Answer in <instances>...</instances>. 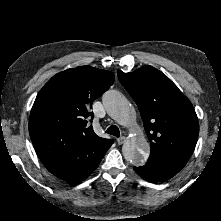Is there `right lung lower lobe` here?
Instances as JSON below:
<instances>
[{
    "mask_svg": "<svg viewBox=\"0 0 221 221\" xmlns=\"http://www.w3.org/2000/svg\"><path fill=\"white\" fill-rule=\"evenodd\" d=\"M112 144L101 139L91 141L42 162L58 178L70 183H78L86 179L98 167Z\"/></svg>",
    "mask_w": 221,
    "mask_h": 221,
    "instance_id": "1",
    "label": "right lung lower lobe"
}]
</instances>
